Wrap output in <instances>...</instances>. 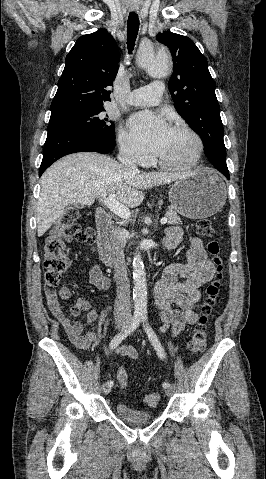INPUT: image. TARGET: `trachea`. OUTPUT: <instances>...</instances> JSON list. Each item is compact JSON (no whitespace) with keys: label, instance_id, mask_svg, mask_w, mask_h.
<instances>
[{"label":"trachea","instance_id":"1","mask_svg":"<svg viewBox=\"0 0 266 479\" xmlns=\"http://www.w3.org/2000/svg\"><path fill=\"white\" fill-rule=\"evenodd\" d=\"M139 30V18L135 12H131L127 22V48L132 53Z\"/></svg>","mask_w":266,"mask_h":479}]
</instances>
